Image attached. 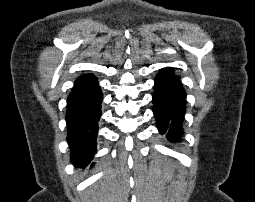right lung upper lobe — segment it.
Wrapping results in <instances>:
<instances>
[{
	"mask_svg": "<svg viewBox=\"0 0 255 202\" xmlns=\"http://www.w3.org/2000/svg\"><path fill=\"white\" fill-rule=\"evenodd\" d=\"M95 79V77L93 75H84V76H81L79 77L76 81H75V84H78V83H82V82H87V81H90V80H93Z\"/></svg>",
	"mask_w": 255,
	"mask_h": 202,
	"instance_id": "obj_1",
	"label": "right lung upper lobe"
}]
</instances>
